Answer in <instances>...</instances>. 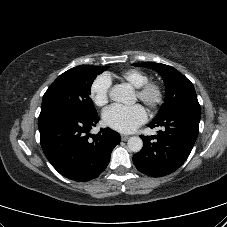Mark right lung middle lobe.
Returning <instances> with one entry per match:
<instances>
[{"label":"right lung middle lobe","instance_id":"1","mask_svg":"<svg viewBox=\"0 0 227 227\" xmlns=\"http://www.w3.org/2000/svg\"><path fill=\"white\" fill-rule=\"evenodd\" d=\"M106 69L108 67L80 65L58 76L43 96L41 113L65 109L86 117L97 115L89 95L94 79Z\"/></svg>","mask_w":227,"mask_h":227}]
</instances>
